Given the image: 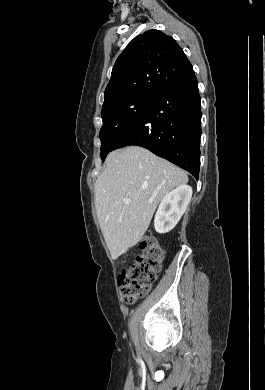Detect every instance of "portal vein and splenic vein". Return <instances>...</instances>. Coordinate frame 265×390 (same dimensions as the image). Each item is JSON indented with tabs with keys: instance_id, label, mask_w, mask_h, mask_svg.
I'll return each mask as SVG.
<instances>
[{
	"instance_id": "1",
	"label": "portal vein and splenic vein",
	"mask_w": 265,
	"mask_h": 390,
	"mask_svg": "<svg viewBox=\"0 0 265 390\" xmlns=\"http://www.w3.org/2000/svg\"><path fill=\"white\" fill-rule=\"evenodd\" d=\"M123 203L126 204V205H128V204L130 203V200H129L128 198H124V199H123Z\"/></svg>"
}]
</instances>
